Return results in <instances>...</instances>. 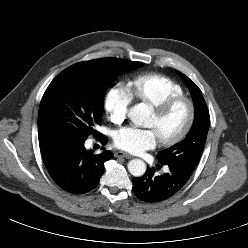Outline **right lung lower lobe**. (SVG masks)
<instances>
[{
	"label": "right lung lower lobe",
	"mask_w": 248,
	"mask_h": 248,
	"mask_svg": "<svg viewBox=\"0 0 248 248\" xmlns=\"http://www.w3.org/2000/svg\"><path fill=\"white\" fill-rule=\"evenodd\" d=\"M99 141L107 143L100 134ZM85 140L64 135L39 139L44 164L55 183L71 194H84L94 189L104 171V162L113 158L112 152L93 154L84 147Z\"/></svg>",
	"instance_id": "obj_1"
}]
</instances>
